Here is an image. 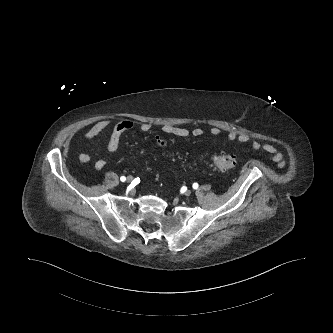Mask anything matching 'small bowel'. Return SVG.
I'll use <instances>...</instances> for the list:
<instances>
[{
	"mask_svg": "<svg viewBox=\"0 0 333 333\" xmlns=\"http://www.w3.org/2000/svg\"><path fill=\"white\" fill-rule=\"evenodd\" d=\"M110 125H111V121L109 119H103V120L96 122L85 134L84 144H87L90 140H92L93 138L100 135ZM134 127H135V124L131 120H122L113 126L110 137H109V141L107 144V153L109 155L114 154L118 150L119 144H120V139H121L122 135L125 132L132 130ZM139 129L141 132H148L151 129V125L148 123H142L140 125ZM162 132L165 135H169V136L177 137V138H187L191 135L195 136V137H200V136H203L205 133L204 130L199 127L188 129L185 127L174 126V125H164L162 127ZM209 132L212 136H218V135H220L221 130L218 127H212ZM227 139L230 142H239V143H247L250 141V137L247 134H240L235 131L228 132ZM160 140H163V139L161 137H157V141H160ZM252 147L255 150H263L266 153L270 154L272 159L281 165H283L286 162L283 153L281 151H279L277 149V147H275L272 144H261L259 141L253 140ZM90 160H91V157L87 153H82L79 155V161L82 164H86V163L90 162ZM106 164H107V159L101 158L96 161L95 169L97 171H102L106 167Z\"/></svg>",
	"mask_w": 333,
	"mask_h": 333,
	"instance_id": "c3829d8e",
	"label": "small bowel"
}]
</instances>
